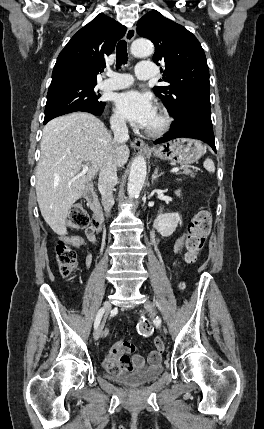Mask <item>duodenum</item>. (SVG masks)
<instances>
[{
    "mask_svg": "<svg viewBox=\"0 0 264 429\" xmlns=\"http://www.w3.org/2000/svg\"><path fill=\"white\" fill-rule=\"evenodd\" d=\"M84 198L87 201L88 207L93 212L94 220L97 221L99 224H102L104 222V213L102 205L91 184L87 185V187L85 188Z\"/></svg>",
    "mask_w": 264,
    "mask_h": 429,
    "instance_id": "duodenum-1",
    "label": "duodenum"
}]
</instances>
